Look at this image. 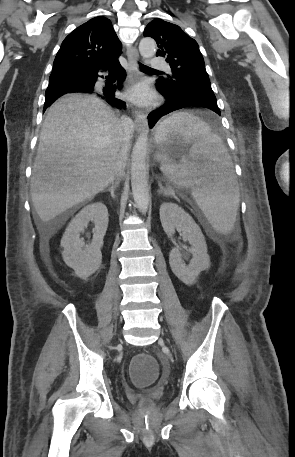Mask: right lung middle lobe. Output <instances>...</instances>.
<instances>
[{
    "instance_id": "1",
    "label": "right lung middle lobe",
    "mask_w": 295,
    "mask_h": 457,
    "mask_svg": "<svg viewBox=\"0 0 295 457\" xmlns=\"http://www.w3.org/2000/svg\"><path fill=\"white\" fill-rule=\"evenodd\" d=\"M51 94H52L51 91H49V92L46 91V93H45L46 96H50Z\"/></svg>"
}]
</instances>
